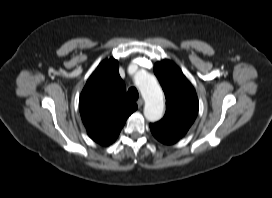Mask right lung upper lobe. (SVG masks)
Returning a JSON list of instances; mask_svg holds the SVG:
<instances>
[{
  "label": "right lung upper lobe",
  "mask_w": 272,
  "mask_h": 198,
  "mask_svg": "<svg viewBox=\"0 0 272 198\" xmlns=\"http://www.w3.org/2000/svg\"><path fill=\"white\" fill-rule=\"evenodd\" d=\"M137 109L126 96L117 60H104L88 79L79 100V110L88 135L107 146L118 137L127 118Z\"/></svg>",
  "instance_id": "obj_1"
}]
</instances>
